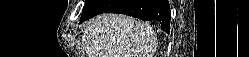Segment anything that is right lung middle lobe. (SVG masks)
Wrapping results in <instances>:
<instances>
[{"label":"right lung middle lobe","mask_w":249,"mask_h":57,"mask_svg":"<svg viewBox=\"0 0 249 57\" xmlns=\"http://www.w3.org/2000/svg\"><path fill=\"white\" fill-rule=\"evenodd\" d=\"M91 2V0H86L84 8Z\"/></svg>","instance_id":"obj_1"}]
</instances>
